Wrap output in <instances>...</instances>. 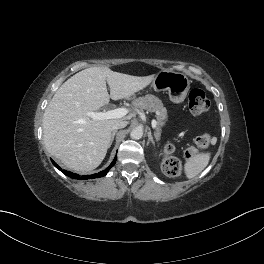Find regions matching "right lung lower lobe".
Returning a JSON list of instances; mask_svg holds the SVG:
<instances>
[{
  "mask_svg": "<svg viewBox=\"0 0 264 264\" xmlns=\"http://www.w3.org/2000/svg\"><path fill=\"white\" fill-rule=\"evenodd\" d=\"M116 159H117V157H115V159L109 165V167H107L105 170L99 172L98 174L86 175V176L85 175L80 176L78 174H75V173H72V172H69V171L62 170L53 160H52V163L54 164V166L56 168H58L59 170H61L65 175H67V176H69L71 178H74V179L82 180V179H93V178L105 176L108 173V171L110 170V168L115 164Z\"/></svg>",
  "mask_w": 264,
  "mask_h": 264,
  "instance_id": "1",
  "label": "right lung lower lobe"
}]
</instances>
